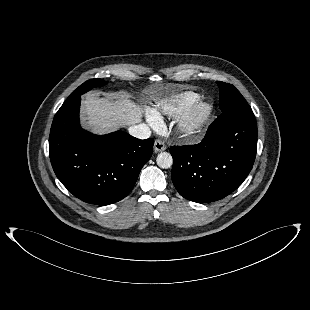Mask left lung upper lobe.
Instances as JSON below:
<instances>
[{"mask_svg":"<svg viewBox=\"0 0 310 310\" xmlns=\"http://www.w3.org/2000/svg\"><path fill=\"white\" fill-rule=\"evenodd\" d=\"M217 84L220 88L219 105L222 113L236 111L249 106L244 97L233 85L219 81H217Z\"/></svg>","mask_w":310,"mask_h":310,"instance_id":"5c2ea615","label":"left lung upper lobe"}]
</instances>
